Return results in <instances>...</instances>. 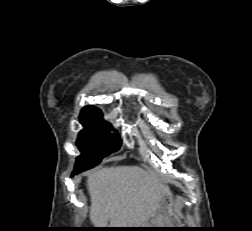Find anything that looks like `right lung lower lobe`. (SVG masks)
Instances as JSON below:
<instances>
[{
  "label": "right lung lower lobe",
  "instance_id": "98d812e1",
  "mask_svg": "<svg viewBox=\"0 0 252 231\" xmlns=\"http://www.w3.org/2000/svg\"><path fill=\"white\" fill-rule=\"evenodd\" d=\"M78 173H80V172H79V171H73L72 176H73L74 174H78Z\"/></svg>",
  "mask_w": 252,
  "mask_h": 231
}]
</instances>
